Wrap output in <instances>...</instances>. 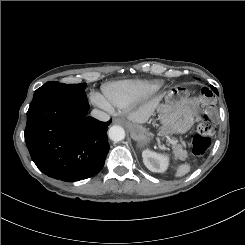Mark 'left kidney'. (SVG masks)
<instances>
[{"label":"left kidney","instance_id":"5707ae66","mask_svg":"<svg viewBox=\"0 0 245 245\" xmlns=\"http://www.w3.org/2000/svg\"><path fill=\"white\" fill-rule=\"evenodd\" d=\"M143 162L145 166L152 172H165L169 165L168 156L160 155L146 149L142 152Z\"/></svg>","mask_w":245,"mask_h":245}]
</instances>
